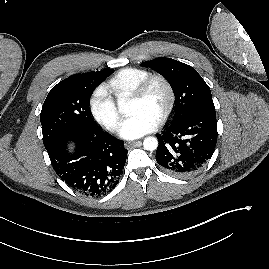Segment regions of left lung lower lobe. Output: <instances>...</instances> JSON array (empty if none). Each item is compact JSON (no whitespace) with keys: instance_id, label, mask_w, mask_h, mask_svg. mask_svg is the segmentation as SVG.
I'll list each match as a JSON object with an SVG mask.
<instances>
[{"instance_id":"obj_1","label":"left lung lower lobe","mask_w":269,"mask_h":269,"mask_svg":"<svg viewBox=\"0 0 269 269\" xmlns=\"http://www.w3.org/2000/svg\"><path fill=\"white\" fill-rule=\"evenodd\" d=\"M216 113H197L157 135L156 161L168 173L191 176L211 159L217 142Z\"/></svg>"}]
</instances>
